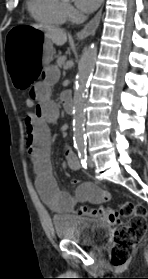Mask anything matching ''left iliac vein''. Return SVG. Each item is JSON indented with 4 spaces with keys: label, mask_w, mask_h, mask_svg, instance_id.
Segmentation results:
<instances>
[{
    "label": "left iliac vein",
    "mask_w": 148,
    "mask_h": 279,
    "mask_svg": "<svg viewBox=\"0 0 148 279\" xmlns=\"http://www.w3.org/2000/svg\"><path fill=\"white\" fill-rule=\"evenodd\" d=\"M87 164H88L89 167H94V162H93L92 157L88 156Z\"/></svg>",
    "instance_id": "left-iliac-vein-1"
}]
</instances>
